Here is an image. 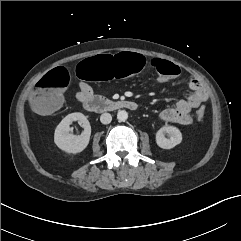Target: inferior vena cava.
<instances>
[{"label":"inferior vena cava","mask_w":241,"mask_h":241,"mask_svg":"<svg viewBox=\"0 0 241 241\" xmlns=\"http://www.w3.org/2000/svg\"><path fill=\"white\" fill-rule=\"evenodd\" d=\"M100 121L102 124H109L112 121V116L110 113H103L100 116Z\"/></svg>","instance_id":"602c4592"}]
</instances>
